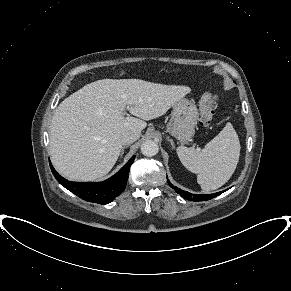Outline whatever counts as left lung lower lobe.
Returning a JSON list of instances; mask_svg holds the SVG:
<instances>
[{
    "label": "left lung lower lobe",
    "instance_id": "obj_1",
    "mask_svg": "<svg viewBox=\"0 0 291 291\" xmlns=\"http://www.w3.org/2000/svg\"><path fill=\"white\" fill-rule=\"evenodd\" d=\"M169 185L178 193L180 194L183 198L192 200V201H206L210 200L218 195L221 194V192L214 193V194H205V195H197V194H192L186 191H183L181 189H178L176 186L171 185L170 181L167 179Z\"/></svg>",
    "mask_w": 291,
    "mask_h": 291
}]
</instances>
